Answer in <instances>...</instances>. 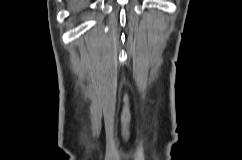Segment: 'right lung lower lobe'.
<instances>
[{"mask_svg": "<svg viewBox=\"0 0 242 160\" xmlns=\"http://www.w3.org/2000/svg\"><path fill=\"white\" fill-rule=\"evenodd\" d=\"M73 1V6L76 9L77 12H80L84 9L88 1L90 0H72Z\"/></svg>", "mask_w": 242, "mask_h": 160, "instance_id": "1", "label": "right lung lower lobe"}]
</instances>
